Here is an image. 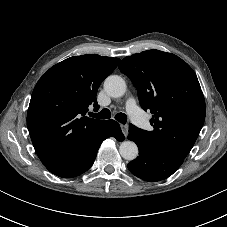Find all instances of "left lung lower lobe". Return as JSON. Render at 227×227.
<instances>
[{
  "label": "left lung lower lobe",
  "mask_w": 227,
  "mask_h": 227,
  "mask_svg": "<svg viewBox=\"0 0 227 227\" xmlns=\"http://www.w3.org/2000/svg\"><path fill=\"white\" fill-rule=\"evenodd\" d=\"M128 139L139 148V156L131 161L128 169L145 181H160L171 176L183 163V159L165 154L148 143L139 128L129 125Z\"/></svg>",
  "instance_id": "0a47b994"
}]
</instances>
